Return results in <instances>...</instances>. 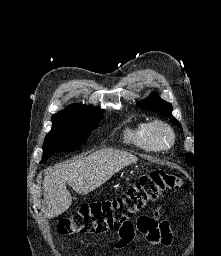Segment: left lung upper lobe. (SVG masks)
Segmentation results:
<instances>
[{
  "label": "left lung upper lobe",
  "instance_id": "5c2ea615",
  "mask_svg": "<svg viewBox=\"0 0 221 256\" xmlns=\"http://www.w3.org/2000/svg\"><path fill=\"white\" fill-rule=\"evenodd\" d=\"M137 105L148 111L157 112L165 117H168L170 118L171 122L180 126L179 121L172 116L171 104L161 99L157 93H151L149 97L142 100V102H137ZM186 162L191 165V155L187 154Z\"/></svg>",
  "mask_w": 221,
  "mask_h": 256
}]
</instances>
